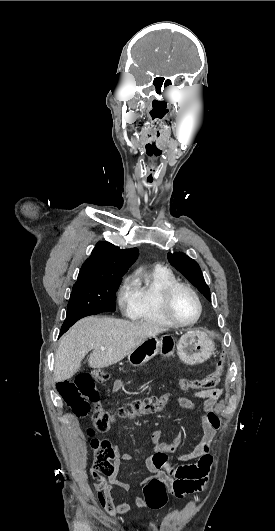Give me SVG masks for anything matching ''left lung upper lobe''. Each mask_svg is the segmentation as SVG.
Segmentation results:
<instances>
[{"instance_id":"1","label":"left lung upper lobe","mask_w":275,"mask_h":531,"mask_svg":"<svg viewBox=\"0 0 275 531\" xmlns=\"http://www.w3.org/2000/svg\"><path fill=\"white\" fill-rule=\"evenodd\" d=\"M168 260L172 266L180 271L197 289L211 301L210 289L205 283L201 269L194 259L181 252L168 253Z\"/></svg>"}]
</instances>
